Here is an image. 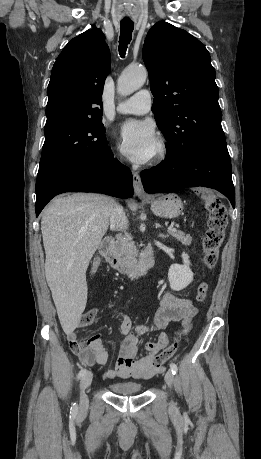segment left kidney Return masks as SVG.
<instances>
[{"instance_id":"left-kidney-1","label":"left kidney","mask_w":261,"mask_h":459,"mask_svg":"<svg viewBox=\"0 0 261 459\" xmlns=\"http://www.w3.org/2000/svg\"><path fill=\"white\" fill-rule=\"evenodd\" d=\"M183 264H173L168 271L170 287L174 291L186 288L193 280V272L190 269L189 256L182 253Z\"/></svg>"}]
</instances>
